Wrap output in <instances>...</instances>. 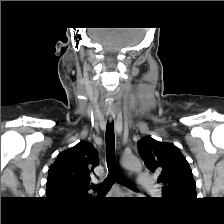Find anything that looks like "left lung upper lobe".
Wrapping results in <instances>:
<instances>
[{
    "label": "left lung upper lobe",
    "instance_id": "obj_1",
    "mask_svg": "<svg viewBox=\"0 0 224 224\" xmlns=\"http://www.w3.org/2000/svg\"><path fill=\"white\" fill-rule=\"evenodd\" d=\"M139 153L151 172H159L162 195L167 199L196 198L192 170L179 149L170 143L159 142L150 136L138 142Z\"/></svg>",
    "mask_w": 224,
    "mask_h": 224
}]
</instances>
